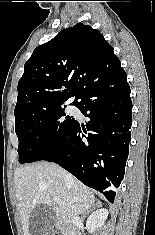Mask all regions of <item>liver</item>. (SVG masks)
Listing matches in <instances>:
<instances>
[{
	"label": "liver",
	"instance_id": "6515ba94",
	"mask_svg": "<svg viewBox=\"0 0 155 235\" xmlns=\"http://www.w3.org/2000/svg\"><path fill=\"white\" fill-rule=\"evenodd\" d=\"M14 183L24 235H30V216L39 204L53 206L56 221L66 224L74 214L95 206L92 191L54 163L42 161L21 166L14 172ZM54 196L60 201H54Z\"/></svg>",
	"mask_w": 155,
	"mask_h": 235
}]
</instances>
